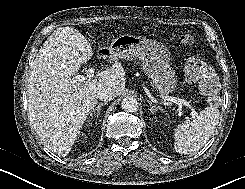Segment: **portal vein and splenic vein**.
Listing matches in <instances>:
<instances>
[{
	"label": "portal vein and splenic vein",
	"mask_w": 245,
	"mask_h": 189,
	"mask_svg": "<svg viewBox=\"0 0 245 189\" xmlns=\"http://www.w3.org/2000/svg\"><path fill=\"white\" fill-rule=\"evenodd\" d=\"M94 71H95L94 68H89L87 70L86 76L85 75H77V76L74 77V79H75V81L90 80L94 76ZM169 100H171L172 102H174V103H176L178 105H182L183 104L186 107L190 108L192 116H196L197 115L195 109L192 107V105L188 101H186L184 99H179V98H176V97H170Z\"/></svg>",
	"instance_id": "portal-vein-and-splenic-vein-1"
}]
</instances>
